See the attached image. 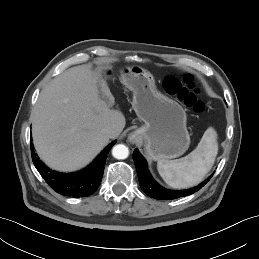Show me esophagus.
Segmentation results:
<instances>
[{
  "instance_id": "esophagus-1",
  "label": "esophagus",
  "mask_w": 259,
  "mask_h": 259,
  "mask_svg": "<svg viewBox=\"0 0 259 259\" xmlns=\"http://www.w3.org/2000/svg\"><path fill=\"white\" fill-rule=\"evenodd\" d=\"M138 138H139V135L137 132H131L128 136V140L131 142V143H136L138 141Z\"/></svg>"
}]
</instances>
